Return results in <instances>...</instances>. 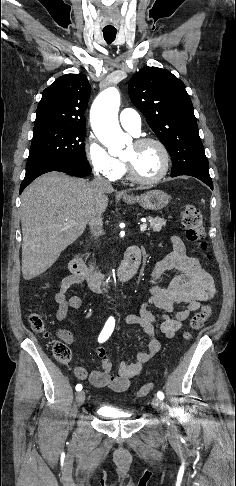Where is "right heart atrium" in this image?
I'll return each instance as SVG.
<instances>
[{"label": "right heart atrium", "mask_w": 236, "mask_h": 486, "mask_svg": "<svg viewBox=\"0 0 236 486\" xmlns=\"http://www.w3.org/2000/svg\"><path fill=\"white\" fill-rule=\"evenodd\" d=\"M85 154L94 172L110 181L118 180L123 172V163L113 157L105 146L93 135L85 143Z\"/></svg>", "instance_id": "1"}]
</instances>
